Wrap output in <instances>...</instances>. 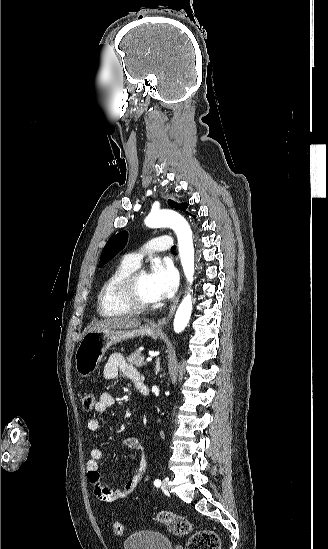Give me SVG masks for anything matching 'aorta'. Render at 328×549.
I'll list each match as a JSON object with an SVG mask.
<instances>
[{
  "label": "aorta",
  "mask_w": 328,
  "mask_h": 549,
  "mask_svg": "<svg viewBox=\"0 0 328 549\" xmlns=\"http://www.w3.org/2000/svg\"><path fill=\"white\" fill-rule=\"evenodd\" d=\"M150 228L170 227L178 238L181 264L187 281L192 284L194 267V246L192 231L187 221L177 212L163 209L151 212L145 220ZM192 313V297L188 292L181 301L174 318V331L182 332L187 326Z\"/></svg>",
  "instance_id": "762f6f07"
}]
</instances>
